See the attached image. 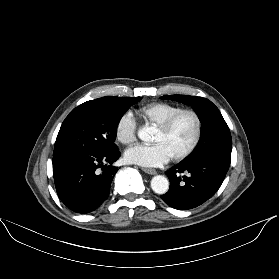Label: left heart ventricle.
<instances>
[{"mask_svg": "<svg viewBox=\"0 0 279 279\" xmlns=\"http://www.w3.org/2000/svg\"><path fill=\"white\" fill-rule=\"evenodd\" d=\"M195 132V123L192 116L185 114L179 117L172 128L163 133L156 131L153 142L166 146L171 156L185 150L191 143Z\"/></svg>", "mask_w": 279, "mask_h": 279, "instance_id": "left-heart-ventricle-1", "label": "left heart ventricle"}]
</instances>
